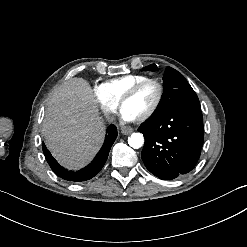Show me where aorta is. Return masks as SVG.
Instances as JSON below:
<instances>
[{"mask_svg":"<svg viewBox=\"0 0 247 247\" xmlns=\"http://www.w3.org/2000/svg\"><path fill=\"white\" fill-rule=\"evenodd\" d=\"M128 144L134 148L138 149L142 147L144 144V137L141 133H133L129 138H128Z\"/></svg>","mask_w":247,"mask_h":247,"instance_id":"obj_1","label":"aorta"}]
</instances>
